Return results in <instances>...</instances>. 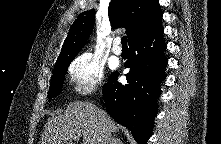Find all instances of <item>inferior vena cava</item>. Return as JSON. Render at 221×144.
Listing matches in <instances>:
<instances>
[{
    "instance_id": "inferior-vena-cava-1",
    "label": "inferior vena cava",
    "mask_w": 221,
    "mask_h": 144,
    "mask_svg": "<svg viewBox=\"0 0 221 144\" xmlns=\"http://www.w3.org/2000/svg\"><path fill=\"white\" fill-rule=\"evenodd\" d=\"M100 144H111V135L107 130V126L104 124L102 128L101 142Z\"/></svg>"
}]
</instances>
